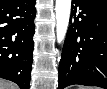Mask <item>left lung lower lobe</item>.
Here are the masks:
<instances>
[{
  "mask_svg": "<svg viewBox=\"0 0 107 89\" xmlns=\"http://www.w3.org/2000/svg\"><path fill=\"white\" fill-rule=\"evenodd\" d=\"M71 25L59 64V86L107 89V4L73 0Z\"/></svg>",
  "mask_w": 107,
  "mask_h": 89,
  "instance_id": "1",
  "label": "left lung lower lobe"
}]
</instances>
